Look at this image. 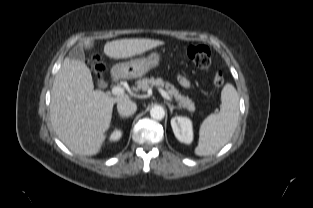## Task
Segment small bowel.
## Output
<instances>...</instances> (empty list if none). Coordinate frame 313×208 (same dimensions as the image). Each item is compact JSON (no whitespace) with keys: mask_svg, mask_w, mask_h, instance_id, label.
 <instances>
[{"mask_svg":"<svg viewBox=\"0 0 313 208\" xmlns=\"http://www.w3.org/2000/svg\"><path fill=\"white\" fill-rule=\"evenodd\" d=\"M178 81L179 83L183 86V87H189L190 86V82L187 78H185L184 76H179L178 77Z\"/></svg>","mask_w":313,"mask_h":208,"instance_id":"obj_1","label":"small bowel"}]
</instances>
